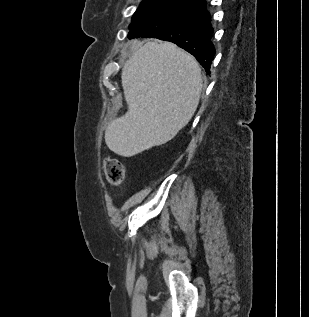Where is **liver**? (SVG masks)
I'll list each match as a JSON object with an SVG mask.
<instances>
[{"label":"liver","mask_w":309,"mask_h":317,"mask_svg":"<svg viewBox=\"0 0 309 317\" xmlns=\"http://www.w3.org/2000/svg\"><path fill=\"white\" fill-rule=\"evenodd\" d=\"M121 79L128 111L106 128L105 143L131 157L173 139L194 115L202 90L201 69L170 42L134 40Z\"/></svg>","instance_id":"obj_1"}]
</instances>
